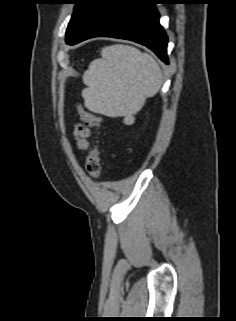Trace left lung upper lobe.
<instances>
[{"label": "left lung upper lobe", "mask_w": 236, "mask_h": 321, "mask_svg": "<svg viewBox=\"0 0 236 321\" xmlns=\"http://www.w3.org/2000/svg\"><path fill=\"white\" fill-rule=\"evenodd\" d=\"M95 0H73L76 4L66 31V42L74 37Z\"/></svg>", "instance_id": "left-lung-upper-lobe-1"}]
</instances>
